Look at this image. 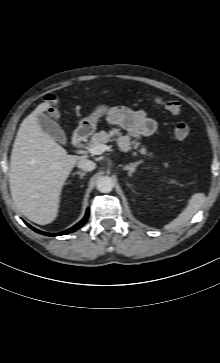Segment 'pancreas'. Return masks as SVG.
<instances>
[{
    "label": "pancreas",
    "instance_id": "cf45deb5",
    "mask_svg": "<svg viewBox=\"0 0 220 363\" xmlns=\"http://www.w3.org/2000/svg\"><path fill=\"white\" fill-rule=\"evenodd\" d=\"M112 141H117L119 149L124 152H128L132 148L137 149L139 147V143L131 141V138L128 135H123L120 132V129L117 128H113L109 132L100 131L95 133L90 140L89 146L105 144ZM138 151L143 155H147L145 147H141ZM133 155L136 156V152H134ZM148 156L152 157L153 155L152 153H149Z\"/></svg>",
    "mask_w": 220,
    "mask_h": 363
}]
</instances>
